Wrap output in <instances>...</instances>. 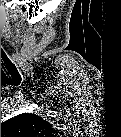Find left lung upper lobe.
Segmentation results:
<instances>
[{
  "label": "left lung upper lobe",
  "mask_w": 121,
  "mask_h": 137,
  "mask_svg": "<svg viewBox=\"0 0 121 137\" xmlns=\"http://www.w3.org/2000/svg\"><path fill=\"white\" fill-rule=\"evenodd\" d=\"M53 126L42 117L23 113L1 123L2 136H49L54 133Z\"/></svg>",
  "instance_id": "obj_1"
}]
</instances>
